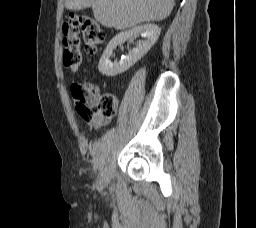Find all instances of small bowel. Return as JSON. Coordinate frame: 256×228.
<instances>
[{
	"mask_svg": "<svg viewBox=\"0 0 256 228\" xmlns=\"http://www.w3.org/2000/svg\"><path fill=\"white\" fill-rule=\"evenodd\" d=\"M107 121H108L107 118L96 119V120L93 122V125H94V126H101V125H103L104 123H106Z\"/></svg>",
	"mask_w": 256,
	"mask_h": 228,
	"instance_id": "1",
	"label": "small bowel"
}]
</instances>
